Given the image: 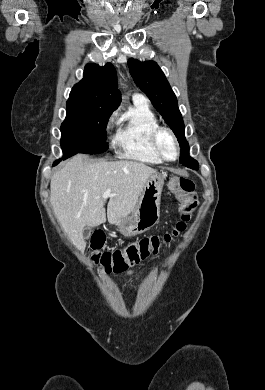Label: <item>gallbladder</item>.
Returning <instances> with one entry per match:
<instances>
[{
  "label": "gallbladder",
  "mask_w": 265,
  "mask_h": 390,
  "mask_svg": "<svg viewBox=\"0 0 265 390\" xmlns=\"http://www.w3.org/2000/svg\"><path fill=\"white\" fill-rule=\"evenodd\" d=\"M90 234H91V229L89 227H85L83 230V237L89 238Z\"/></svg>",
  "instance_id": "obj_1"
}]
</instances>
